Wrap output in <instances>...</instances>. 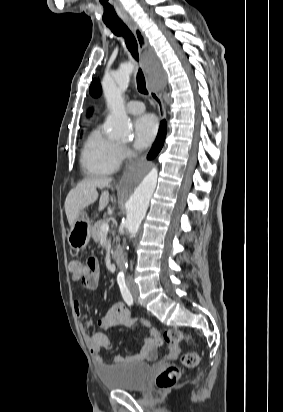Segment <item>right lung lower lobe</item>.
I'll use <instances>...</instances> for the list:
<instances>
[{"label":"right lung lower lobe","mask_w":283,"mask_h":412,"mask_svg":"<svg viewBox=\"0 0 283 412\" xmlns=\"http://www.w3.org/2000/svg\"><path fill=\"white\" fill-rule=\"evenodd\" d=\"M166 133H167V128H166V122L165 120L161 122V126L159 129V133L157 136V139L152 147V149L150 150L147 158L148 159H153L157 156V154L160 152L163 144H164V140L166 137Z\"/></svg>","instance_id":"right-lung-lower-lobe-1"}]
</instances>
